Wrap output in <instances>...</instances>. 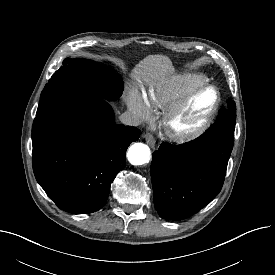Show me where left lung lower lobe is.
Masks as SVG:
<instances>
[{
  "label": "left lung lower lobe",
  "instance_id": "1",
  "mask_svg": "<svg viewBox=\"0 0 275 275\" xmlns=\"http://www.w3.org/2000/svg\"><path fill=\"white\" fill-rule=\"evenodd\" d=\"M217 121L193 141L161 144L153 153L151 182L161 218L182 220L199 212L221 190L234 144L235 127Z\"/></svg>",
  "mask_w": 275,
  "mask_h": 275
}]
</instances>
